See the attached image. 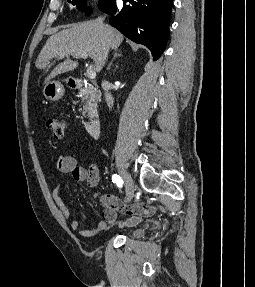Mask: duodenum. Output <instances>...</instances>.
I'll return each instance as SVG.
<instances>
[{
  "label": "duodenum",
  "instance_id": "410a0bca",
  "mask_svg": "<svg viewBox=\"0 0 255 287\" xmlns=\"http://www.w3.org/2000/svg\"><path fill=\"white\" fill-rule=\"evenodd\" d=\"M84 85L82 81H73L70 83L72 88H80ZM87 132L90 137L97 138L100 133V119L98 117H93L89 120L87 124Z\"/></svg>",
  "mask_w": 255,
  "mask_h": 287
}]
</instances>
